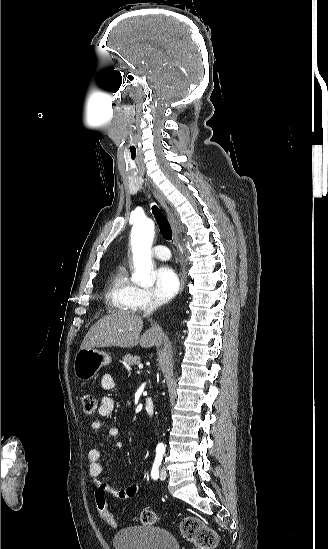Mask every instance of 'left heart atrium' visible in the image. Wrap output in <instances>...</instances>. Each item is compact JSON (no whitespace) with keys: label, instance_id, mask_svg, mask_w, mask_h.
I'll use <instances>...</instances> for the list:
<instances>
[{"label":"left heart atrium","instance_id":"obj_1","mask_svg":"<svg viewBox=\"0 0 328 549\" xmlns=\"http://www.w3.org/2000/svg\"><path fill=\"white\" fill-rule=\"evenodd\" d=\"M155 288L163 300L173 297L179 289V281L175 272L169 267H161L156 272Z\"/></svg>","mask_w":328,"mask_h":549}]
</instances>
